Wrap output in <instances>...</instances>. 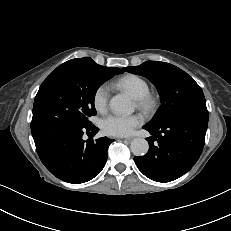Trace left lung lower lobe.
Listing matches in <instances>:
<instances>
[{"label": "left lung lower lobe", "mask_w": 231, "mask_h": 231, "mask_svg": "<svg viewBox=\"0 0 231 231\" xmlns=\"http://www.w3.org/2000/svg\"><path fill=\"white\" fill-rule=\"evenodd\" d=\"M208 117L207 109H193L159 125H144L152 137L146 138L148 153L134 157L138 169L157 182H170L187 173L202 153Z\"/></svg>", "instance_id": "0a47b994"}]
</instances>
